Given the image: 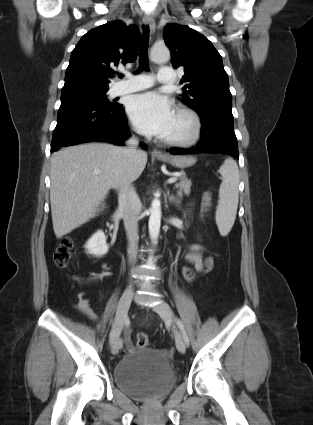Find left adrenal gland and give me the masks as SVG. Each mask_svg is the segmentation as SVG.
Masks as SVG:
<instances>
[{"label": "left adrenal gland", "instance_id": "left-adrenal-gland-1", "mask_svg": "<svg viewBox=\"0 0 313 425\" xmlns=\"http://www.w3.org/2000/svg\"><path fill=\"white\" fill-rule=\"evenodd\" d=\"M168 200L170 203L176 204L177 207H179L180 201L179 199L174 195H169V190H167Z\"/></svg>", "mask_w": 313, "mask_h": 425}]
</instances>
